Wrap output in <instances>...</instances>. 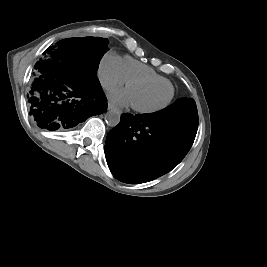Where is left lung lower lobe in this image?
<instances>
[{
	"instance_id": "left-lung-lower-lobe-1",
	"label": "left lung lower lobe",
	"mask_w": 267,
	"mask_h": 267,
	"mask_svg": "<svg viewBox=\"0 0 267 267\" xmlns=\"http://www.w3.org/2000/svg\"><path fill=\"white\" fill-rule=\"evenodd\" d=\"M198 119L173 114H122L109 131L105 157L114 177L136 184L176 167L191 148Z\"/></svg>"
}]
</instances>
